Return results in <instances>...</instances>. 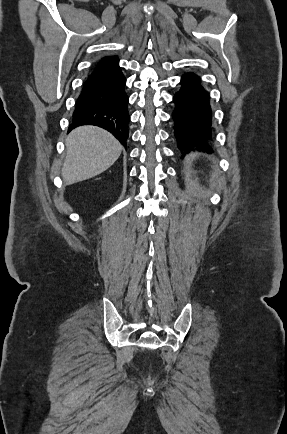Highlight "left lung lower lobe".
<instances>
[{
    "label": "left lung lower lobe",
    "instance_id": "0a47b994",
    "mask_svg": "<svg viewBox=\"0 0 287 434\" xmlns=\"http://www.w3.org/2000/svg\"><path fill=\"white\" fill-rule=\"evenodd\" d=\"M181 89L174 95V137L181 152L210 151L212 142V112L209 94L199 77L186 73L181 79Z\"/></svg>",
    "mask_w": 287,
    "mask_h": 434
}]
</instances>
